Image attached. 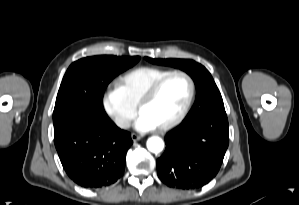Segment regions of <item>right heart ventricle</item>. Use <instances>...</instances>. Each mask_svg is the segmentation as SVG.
Wrapping results in <instances>:
<instances>
[{
  "label": "right heart ventricle",
  "mask_w": 299,
  "mask_h": 205,
  "mask_svg": "<svg viewBox=\"0 0 299 205\" xmlns=\"http://www.w3.org/2000/svg\"><path fill=\"white\" fill-rule=\"evenodd\" d=\"M170 71L154 66H140L121 75L117 79L116 85L121 89L126 99L136 107L146 90L157 79Z\"/></svg>",
  "instance_id": "1"
}]
</instances>
